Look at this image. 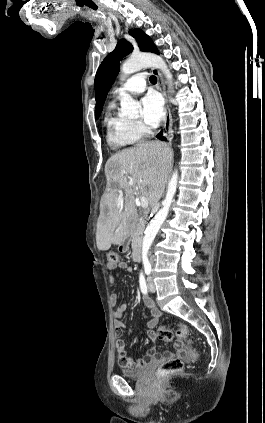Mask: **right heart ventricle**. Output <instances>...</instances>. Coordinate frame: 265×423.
<instances>
[{
	"instance_id": "e07e8e85",
	"label": "right heart ventricle",
	"mask_w": 265,
	"mask_h": 423,
	"mask_svg": "<svg viewBox=\"0 0 265 423\" xmlns=\"http://www.w3.org/2000/svg\"><path fill=\"white\" fill-rule=\"evenodd\" d=\"M115 103L108 105L104 123L107 130V141L112 147L133 146L140 139L134 122L115 111Z\"/></svg>"
}]
</instances>
